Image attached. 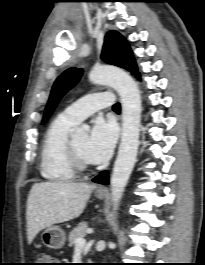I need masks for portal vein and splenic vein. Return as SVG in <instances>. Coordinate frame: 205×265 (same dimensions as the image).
Returning a JSON list of instances; mask_svg holds the SVG:
<instances>
[{"label": "portal vein and splenic vein", "instance_id": "1", "mask_svg": "<svg viewBox=\"0 0 205 265\" xmlns=\"http://www.w3.org/2000/svg\"><path fill=\"white\" fill-rule=\"evenodd\" d=\"M86 243V240L83 237H79L76 239V247H83Z\"/></svg>", "mask_w": 205, "mask_h": 265}]
</instances>
